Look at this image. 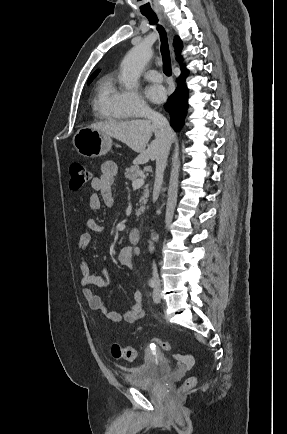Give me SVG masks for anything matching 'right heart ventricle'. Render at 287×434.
Returning a JSON list of instances; mask_svg holds the SVG:
<instances>
[{
  "label": "right heart ventricle",
  "instance_id": "e07e8e85",
  "mask_svg": "<svg viewBox=\"0 0 287 434\" xmlns=\"http://www.w3.org/2000/svg\"><path fill=\"white\" fill-rule=\"evenodd\" d=\"M118 89L112 75L103 76L97 83L93 99L96 114L108 121H123L127 116L116 105L115 97Z\"/></svg>",
  "mask_w": 287,
  "mask_h": 434
}]
</instances>
